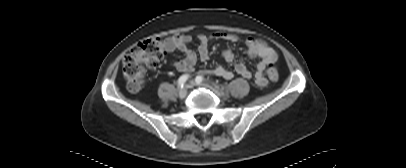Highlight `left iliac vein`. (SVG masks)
I'll return each mask as SVG.
<instances>
[{
	"mask_svg": "<svg viewBox=\"0 0 406 168\" xmlns=\"http://www.w3.org/2000/svg\"><path fill=\"white\" fill-rule=\"evenodd\" d=\"M191 85H198V86H206L205 84L196 83L195 81H191Z\"/></svg>",
	"mask_w": 406,
	"mask_h": 168,
	"instance_id": "4c4485c4",
	"label": "left iliac vein"
}]
</instances>
